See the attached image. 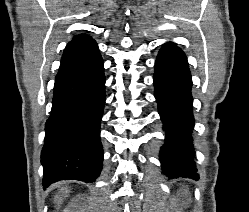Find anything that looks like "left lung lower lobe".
Segmentation results:
<instances>
[{"instance_id":"0a47b994","label":"left lung lower lobe","mask_w":249,"mask_h":212,"mask_svg":"<svg viewBox=\"0 0 249 212\" xmlns=\"http://www.w3.org/2000/svg\"><path fill=\"white\" fill-rule=\"evenodd\" d=\"M154 87L166 138L160 151L163 173L169 178L197 180L191 137L194 126L191 74L185 54L173 43L164 44L158 54Z\"/></svg>"}]
</instances>
